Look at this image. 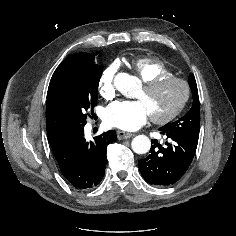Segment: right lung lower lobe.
I'll list each match as a JSON object with an SVG mask.
<instances>
[{
    "instance_id": "right-lung-lower-lobe-1",
    "label": "right lung lower lobe",
    "mask_w": 236,
    "mask_h": 236,
    "mask_svg": "<svg viewBox=\"0 0 236 236\" xmlns=\"http://www.w3.org/2000/svg\"><path fill=\"white\" fill-rule=\"evenodd\" d=\"M116 140V133L110 130L87 142L83 126L71 129L52 150L63 177L74 188L87 190L103 179L107 146Z\"/></svg>"
}]
</instances>
